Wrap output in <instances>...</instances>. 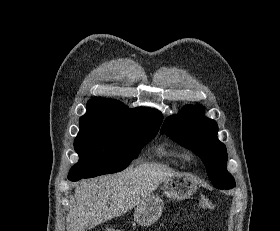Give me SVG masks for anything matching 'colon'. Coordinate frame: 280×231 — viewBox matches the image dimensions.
I'll list each match as a JSON object with an SVG mask.
<instances>
[{
  "mask_svg": "<svg viewBox=\"0 0 280 231\" xmlns=\"http://www.w3.org/2000/svg\"><path fill=\"white\" fill-rule=\"evenodd\" d=\"M200 205L207 210H212L214 208L213 202L206 196L201 198Z\"/></svg>",
  "mask_w": 280,
  "mask_h": 231,
  "instance_id": "1",
  "label": "colon"
}]
</instances>
